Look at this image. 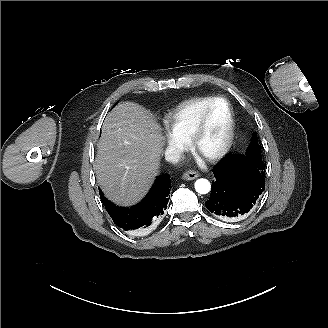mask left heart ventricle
Masks as SVG:
<instances>
[{
	"label": "left heart ventricle",
	"instance_id": "obj_1",
	"mask_svg": "<svg viewBox=\"0 0 328 328\" xmlns=\"http://www.w3.org/2000/svg\"><path fill=\"white\" fill-rule=\"evenodd\" d=\"M228 120V109L223 103H218L209 112L200 141V148L204 153H212L221 146L226 134Z\"/></svg>",
	"mask_w": 328,
	"mask_h": 328
}]
</instances>
